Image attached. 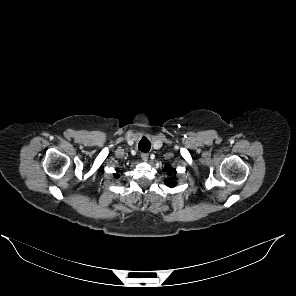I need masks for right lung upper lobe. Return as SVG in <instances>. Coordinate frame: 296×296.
I'll use <instances>...</instances> for the list:
<instances>
[{"mask_svg": "<svg viewBox=\"0 0 296 296\" xmlns=\"http://www.w3.org/2000/svg\"><path fill=\"white\" fill-rule=\"evenodd\" d=\"M114 176H115L116 178H118V177H119V175H118V174H114Z\"/></svg>", "mask_w": 296, "mask_h": 296, "instance_id": "right-lung-upper-lobe-1", "label": "right lung upper lobe"}]
</instances>
